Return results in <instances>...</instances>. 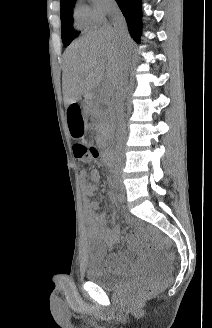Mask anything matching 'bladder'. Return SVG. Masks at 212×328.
Here are the masks:
<instances>
[{
	"label": "bladder",
	"instance_id": "bladder-1",
	"mask_svg": "<svg viewBox=\"0 0 212 328\" xmlns=\"http://www.w3.org/2000/svg\"><path fill=\"white\" fill-rule=\"evenodd\" d=\"M87 278L107 291H117L123 287L137 282L141 276V270H135L126 275H120L109 271L101 263L90 262L86 272Z\"/></svg>",
	"mask_w": 212,
	"mask_h": 328
}]
</instances>
